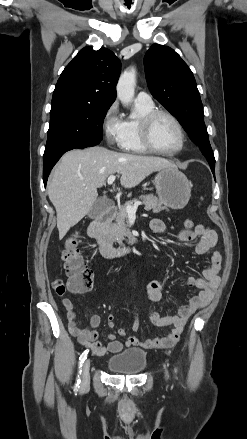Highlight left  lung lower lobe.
I'll return each mask as SVG.
<instances>
[{
  "mask_svg": "<svg viewBox=\"0 0 247 439\" xmlns=\"http://www.w3.org/2000/svg\"><path fill=\"white\" fill-rule=\"evenodd\" d=\"M211 170H212V172H213V174H214V167H211Z\"/></svg>",
  "mask_w": 247,
  "mask_h": 439,
  "instance_id": "left-lung-lower-lobe-1",
  "label": "left lung lower lobe"
}]
</instances>
